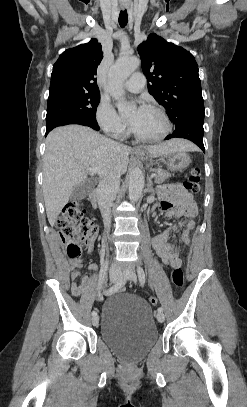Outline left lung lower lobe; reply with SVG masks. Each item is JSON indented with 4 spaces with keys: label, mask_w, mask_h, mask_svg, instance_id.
<instances>
[{
    "label": "left lung lower lobe",
    "mask_w": 247,
    "mask_h": 407,
    "mask_svg": "<svg viewBox=\"0 0 247 407\" xmlns=\"http://www.w3.org/2000/svg\"><path fill=\"white\" fill-rule=\"evenodd\" d=\"M203 123L204 116H189L175 124V131L171 135L167 136L166 139L185 138L194 142L202 149L203 152H205L203 144Z\"/></svg>",
    "instance_id": "0a47b994"
}]
</instances>
